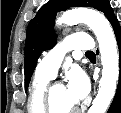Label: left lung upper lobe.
<instances>
[{
  "label": "left lung upper lobe",
  "mask_w": 121,
  "mask_h": 113,
  "mask_svg": "<svg viewBox=\"0 0 121 113\" xmlns=\"http://www.w3.org/2000/svg\"><path fill=\"white\" fill-rule=\"evenodd\" d=\"M93 7L102 11L107 19L111 21L114 12L108 0H54L44 4L31 20L27 29L25 43V88H28L31 76L37 65V59L43 50L50 49L56 40L51 34L57 11L66 10L69 7Z\"/></svg>",
  "instance_id": "1"
}]
</instances>
